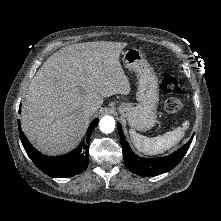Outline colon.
Returning a JSON list of instances; mask_svg holds the SVG:
<instances>
[{"label":"colon","instance_id":"1","mask_svg":"<svg viewBox=\"0 0 221 221\" xmlns=\"http://www.w3.org/2000/svg\"><path fill=\"white\" fill-rule=\"evenodd\" d=\"M161 89L169 96L164 104L166 112H178L182 107V103L177 97L182 92V87L178 79L171 75L164 77L161 83Z\"/></svg>","mask_w":221,"mask_h":221}]
</instances>
